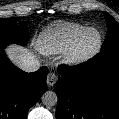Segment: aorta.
Segmentation results:
<instances>
[{
    "label": "aorta",
    "instance_id": "aorta-1",
    "mask_svg": "<svg viewBox=\"0 0 119 119\" xmlns=\"http://www.w3.org/2000/svg\"><path fill=\"white\" fill-rule=\"evenodd\" d=\"M41 99L42 103L47 107H53L58 102L57 94L53 91H46Z\"/></svg>",
    "mask_w": 119,
    "mask_h": 119
}]
</instances>
